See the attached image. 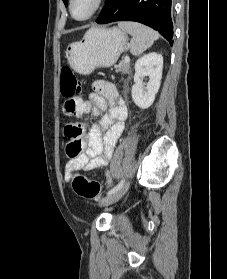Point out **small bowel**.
<instances>
[{"mask_svg": "<svg viewBox=\"0 0 227 279\" xmlns=\"http://www.w3.org/2000/svg\"><path fill=\"white\" fill-rule=\"evenodd\" d=\"M77 101L79 107L74 116L91 113L99 119L89 126L84 123L70 124L80 130V133L70 140L80 145V153L66 164L67 182L71 181L77 169L91 171L108 164L128 116L124 100L120 97L116 86L108 81L96 82L89 98Z\"/></svg>", "mask_w": 227, "mask_h": 279, "instance_id": "1", "label": "small bowel"}]
</instances>
